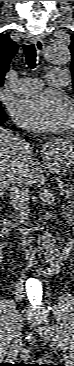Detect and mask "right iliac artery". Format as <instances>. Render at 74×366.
I'll return each instance as SVG.
<instances>
[{"label": "right iliac artery", "mask_w": 74, "mask_h": 366, "mask_svg": "<svg viewBox=\"0 0 74 366\" xmlns=\"http://www.w3.org/2000/svg\"><path fill=\"white\" fill-rule=\"evenodd\" d=\"M14 352H16V350H14ZM10 355H11V357H14V356L17 355V353H15V354L14 353H11Z\"/></svg>", "instance_id": "right-iliac-artery-1"}]
</instances>
